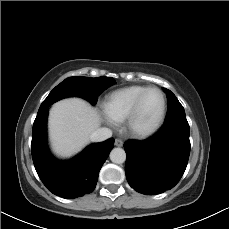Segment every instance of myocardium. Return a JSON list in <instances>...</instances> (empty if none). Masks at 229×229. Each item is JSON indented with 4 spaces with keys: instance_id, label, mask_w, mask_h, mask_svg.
Instances as JSON below:
<instances>
[{
    "instance_id": "1",
    "label": "myocardium",
    "mask_w": 229,
    "mask_h": 229,
    "mask_svg": "<svg viewBox=\"0 0 229 229\" xmlns=\"http://www.w3.org/2000/svg\"><path fill=\"white\" fill-rule=\"evenodd\" d=\"M151 91H157L162 99V105L160 113L157 117V119L148 127L145 128H139L137 126V118L139 114V109L141 106V103L144 99V97ZM166 98L164 93L157 87H149L145 91H143L135 100V102L132 105V108L126 118V129L129 132L130 135H132L135 138H146L148 136L153 135L155 132L159 130V128L162 126L165 114H166Z\"/></svg>"
}]
</instances>
